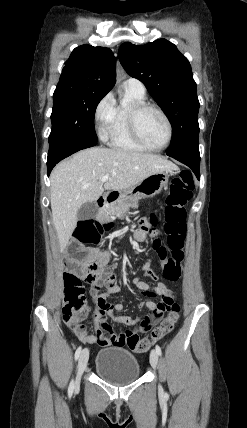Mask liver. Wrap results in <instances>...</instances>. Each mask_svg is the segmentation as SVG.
I'll return each instance as SVG.
<instances>
[{
    "label": "liver",
    "instance_id": "obj_1",
    "mask_svg": "<svg viewBox=\"0 0 247 428\" xmlns=\"http://www.w3.org/2000/svg\"><path fill=\"white\" fill-rule=\"evenodd\" d=\"M167 170L178 167L158 155L104 147L82 150L59 163L50 176V201L60 251L76 228L77 213L83 204L97 201L104 190H126ZM105 175L109 179L101 182Z\"/></svg>",
    "mask_w": 247,
    "mask_h": 428
}]
</instances>
